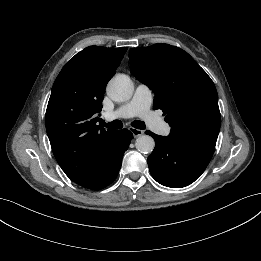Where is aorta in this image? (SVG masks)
<instances>
[{"label": "aorta", "instance_id": "762f6f07", "mask_svg": "<svg viewBox=\"0 0 261 261\" xmlns=\"http://www.w3.org/2000/svg\"><path fill=\"white\" fill-rule=\"evenodd\" d=\"M108 96L116 102H125L131 99L134 85L129 76L125 74L115 75L107 85ZM136 148L141 153H151L155 147L154 139L149 135H141L136 139Z\"/></svg>", "mask_w": 261, "mask_h": 261}]
</instances>
